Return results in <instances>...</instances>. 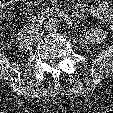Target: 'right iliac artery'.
Instances as JSON below:
<instances>
[{
	"mask_svg": "<svg viewBox=\"0 0 113 113\" xmlns=\"http://www.w3.org/2000/svg\"><path fill=\"white\" fill-rule=\"evenodd\" d=\"M56 15L59 17H63L64 13L63 12H55L53 9H47V11L45 12H41L39 13L36 17H34V19L32 20L31 24L29 26H27V28L29 29V31H33L36 29V27H38L39 25H41L43 23V21L46 19V17H49L51 15Z\"/></svg>",
	"mask_w": 113,
	"mask_h": 113,
	"instance_id": "82829eb1",
	"label": "right iliac artery"
}]
</instances>
